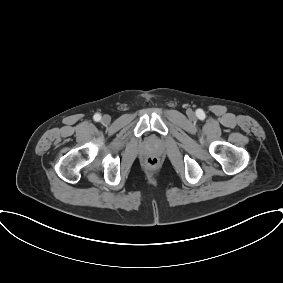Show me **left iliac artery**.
I'll list each match as a JSON object with an SVG mask.
<instances>
[{
	"mask_svg": "<svg viewBox=\"0 0 283 283\" xmlns=\"http://www.w3.org/2000/svg\"><path fill=\"white\" fill-rule=\"evenodd\" d=\"M204 116V114H203V112H201L200 114H199V117H203Z\"/></svg>",
	"mask_w": 283,
	"mask_h": 283,
	"instance_id": "obj_1",
	"label": "left iliac artery"
}]
</instances>
